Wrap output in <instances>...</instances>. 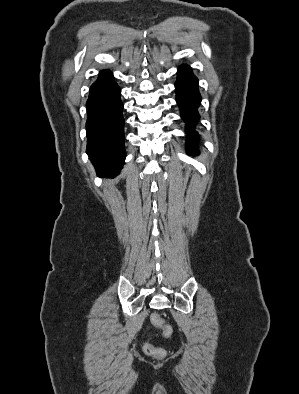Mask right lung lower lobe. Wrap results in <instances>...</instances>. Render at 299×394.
<instances>
[{
	"mask_svg": "<svg viewBox=\"0 0 299 394\" xmlns=\"http://www.w3.org/2000/svg\"><path fill=\"white\" fill-rule=\"evenodd\" d=\"M120 94L113 74L103 70L92 84L86 103V152L99 174L116 175L126 157Z\"/></svg>",
	"mask_w": 299,
	"mask_h": 394,
	"instance_id": "1",
	"label": "right lung lower lobe"
}]
</instances>
